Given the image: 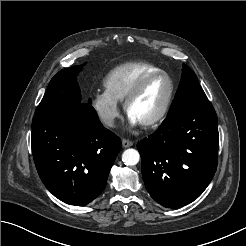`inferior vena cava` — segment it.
I'll use <instances>...</instances> for the list:
<instances>
[{"label": "inferior vena cava", "mask_w": 246, "mask_h": 246, "mask_svg": "<svg viewBox=\"0 0 246 246\" xmlns=\"http://www.w3.org/2000/svg\"><path fill=\"white\" fill-rule=\"evenodd\" d=\"M102 121L105 125L109 126V127H113L114 126V120L112 117H103Z\"/></svg>", "instance_id": "602c4592"}]
</instances>
